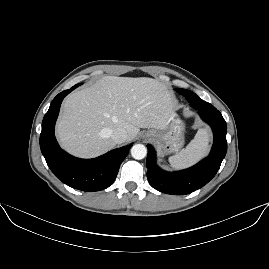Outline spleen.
Instances as JSON below:
<instances>
[{"mask_svg":"<svg viewBox=\"0 0 269 269\" xmlns=\"http://www.w3.org/2000/svg\"><path fill=\"white\" fill-rule=\"evenodd\" d=\"M209 137L206 128H201L186 147L170 156L169 160L173 167L186 166L198 159L206 150Z\"/></svg>","mask_w":269,"mask_h":269,"instance_id":"3e777b00","label":"spleen"}]
</instances>
